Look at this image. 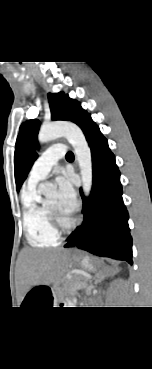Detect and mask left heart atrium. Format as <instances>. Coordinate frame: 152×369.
I'll use <instances>...</instances> for the list:
<instances>
[{
  "instance_id": "1",
  "label": "left heart atrium",
  "mask_w": 152,
  "mask_h": 369,
  "mask_svg": "<svg viewBox=\"0 0 152 369\" xmlns=\"http://www.w3.org/2000/svg\"><path fill=\"white\" fill-rule=\"evenodd\" d=\"M58 200L60 210L68 216H71L77 209L78 201L76 192L68 177L61 176L57 180Z\"/></svg>"
}]
</instances>
